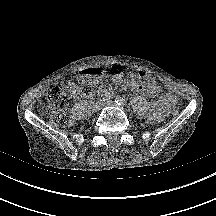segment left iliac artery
<instances>
[{
  "instance_id": "1",
  "label": "left iliac artery",
  "mask_w": 216,
  "mask_h": 216,
  "mask_svg": "<svg viewBox=\"0 0 216 216\" xmlns=\"http://www.w3.org/2000/svg\"><path fill=\"white\" fill-rule=\"evenodd\" d=\"M115 102L118 104V105H127V101L125 98L121 97V96H117L116 99H115Z\"/></svg>"
}]
</instances>
